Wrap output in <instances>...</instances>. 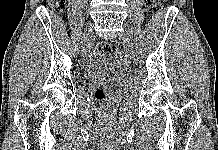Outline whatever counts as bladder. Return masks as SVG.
Instances as JSON below:
<instances>
[{"label": "bladder", "instance_id": "obj_1", "mask_svg": "<svg viewBox=\"0 0 218 150\" xmlns=\"http://www.w3.org/2000/svg\"><path fill=\"white\" fill-rule=\"evenodd\" d=\"M114 66L109 57L93 56L83 69V78L84 80L107 78L113 74Z\"/></svg>", "mask_w": 218, "mask_h": 150}]
</instances>
